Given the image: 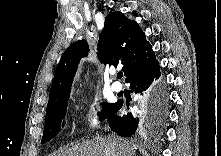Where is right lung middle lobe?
<instances>
[{"instance_id": "obj_1", "label": "right lung middle lobe", "mask_w": 221, "mask_h": 156, "mask_svg": "<svg viewBox=\"0 0 221 156\" xmlns=\"http://www.w3.org/2000/svg\"><path fill=\"white\" fill-rule=\"evenodd\" d=\"M69 96L70 93L61 97L54 104L47 107L42 144L50 141L57 135L58 131H60V124L66 113L67 100L69 99ZM118 103L119 101L113 104L103 103V112L99 113L100 121L108 118L113 113Z\"/></svg>"}]
</instances>
